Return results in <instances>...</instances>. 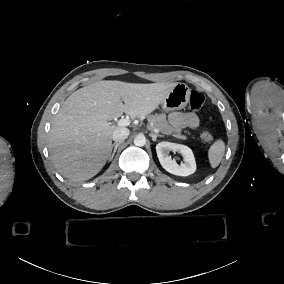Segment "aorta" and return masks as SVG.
<instances>
[{
  "instance_id": "1",
  "label": "aorta",
  "mask_w": 284,
  "mask_h": 284,
  "mask_svg": "<svg viewBox=\"0 0 284 284\" xmlns=\"http://www.w3.org/2000/svg\"><path fill=\"white\" fill-rule=\"evenodd\" d=\"M134 144L136 146H139V147H142L146 144V138L144 135H137L135 138H134Z\"/></svg>"
}]
</instances>
